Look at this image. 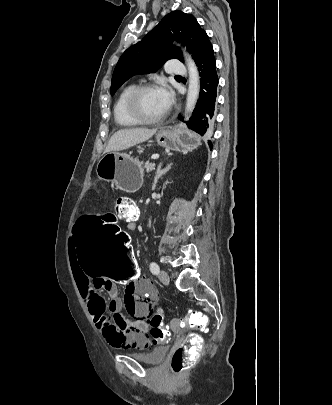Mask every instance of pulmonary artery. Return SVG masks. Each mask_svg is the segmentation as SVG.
Returning <instances> with one entry per match:
<instances>
[{
	"label": "pulmonary artery",
	"instance_id": "e3ab8cb5",
	"mask_svg": "<svg viewBox=\"0 0 332 405\" xmlns=\"http://www.w3.org/2000/svg\"><path fill=\"white\" fill-rule=\"evenodd\" d=\"M166 70L168 73L178 76L186 72L185 67L177 59L169 60L166 65Z\"/></svg>",
	"mask_w": 332,
	"mask_h": 405
}]
</instances>
